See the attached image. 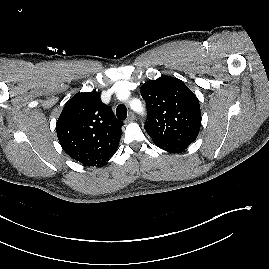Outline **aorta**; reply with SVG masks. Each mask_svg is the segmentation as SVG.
<instances>
[{"instance_id": "obj_1", "label": "aorta", "mask_w": 269, "mask_h": 269, "mask_svg": "<svg viewBox=\"0 0 269 269\" xmlns=\"http://www.w3.org/2000/svg\"><path fill=\"white\" fill-rule=\"evenodd\" d=\"M138 102H139L138 100H133L132 103H131V107H132V109L135 110V111H139V110H140V109H137V108L135 107L136 103H138Z\"/></svg>"}]
</instances>
